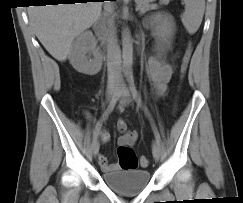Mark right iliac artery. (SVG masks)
I'll list each match as a JSON object with an SVG mask.
<instances>
[{"instance_id":"right-iliac-artery-1","label":"right iliac artery","mask_w":243,"mask_h":203,"mask_svg":"<svg viewBox=\"0 0 243 203\" xmlns=\"http://www.w3.org/2000/svg\"><path fill=\"white\" fill-rule=\"evenodd\" d=\"M118 99H119V95L116 94L113 96L106 111L104 112V114L100 120V123L102 121H104L105 119H107L108 115L113 111L114 107L116 106ZM98 135H99V129H98V127H96L95 131L93 132V141L97 139Z\"/></svg>"}]
</instances>
